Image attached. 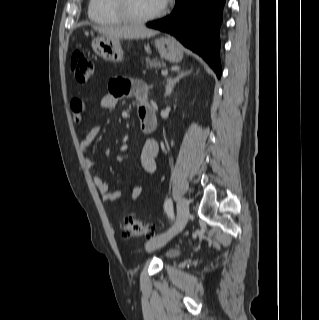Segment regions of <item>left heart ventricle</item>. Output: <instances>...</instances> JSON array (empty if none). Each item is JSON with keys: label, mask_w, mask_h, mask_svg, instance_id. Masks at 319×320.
I'll list each match as a JSON object with an SVG mask.
<instances>
[{"label": "left heart ventricle", "mask_w": 319, "mask_h": 320, "mask_svg": "<svg viewBox=\"0 0 319 320\" xmlns=\"http://www.w3.org/2000/svg\"><path fill=\"white\" fill-rule=\"evenodd\" d=\"M161 7L158 0H131V8L139 16L151 15Z\"/></svg>", "instance_id": "1"}]
</instances>
